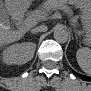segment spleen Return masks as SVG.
Masks as SVG:
<instances>
[{
  "instance_id": "1",
  "label": "spleen",
  "mask_w": 91,
  "mask_h": 91,
  "mask_svg": "<svg viewBox=\"0 0 91 91\" xmlns=\"http://www.w3.org/2000/svg\"><path fill=\"white\" fill-rule=\"evenodd\" d=\"M76 58L78 65L85 73L91 71V50L87 47L80 48L77 50Z\"/></svg>"
}]
</instances>
